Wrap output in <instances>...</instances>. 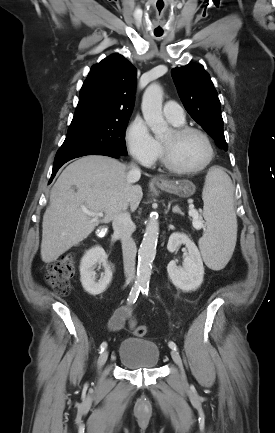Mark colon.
Wrapping results in <instances>:
<instances>
[{
    "label": "colon",
    "mask_w": 275,
    "mask_h": 433,
    "mask_svg": "<svg viewBox=\"0 0 275 433\" xmlns=\"http://www.w3.org/2000/svg\"><path fill=\"white\" fill-rule=\"evenodd\" d=\"M75 254L67 253L61 259L56 260L48 266L46 280L49 286L60 295H67L70 291L71 282L75 277ZM147 334V327L138 324L134 328V335L144 337Z\"/></svg>",
    "instance_id": "colon-1"
}]
</instances>
